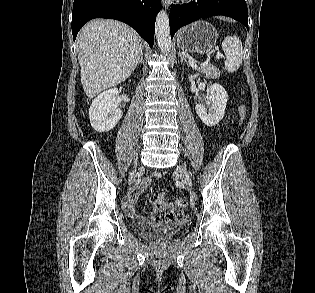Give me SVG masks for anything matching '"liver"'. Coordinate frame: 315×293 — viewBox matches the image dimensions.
<instances>
[{
    "mask_svg": "<svg viewBox=\"0 0 315 293\" xmlns=\"http://www.w3.org/2000/svg\"><path fill=\"white\" fill-rule=\"evenodd\" d=\"M81 83L88 98L125 81L142 55V41L130 26L115 20L87 23L77 37Z\"/></svg>",
    "mask_w": 315,
    "mask_h": 293,
    "instance_id": "1",
    "label": "liver"
}]
</instances>
